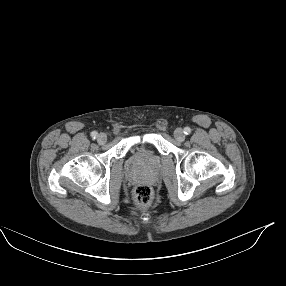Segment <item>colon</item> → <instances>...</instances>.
Returning a JSON list of instances; mask_svg holds the SVG:
<instances>
[{
  "label": "colon",
  "instance_id": "obj_1",
  "mask_svg": "<svg viewBox=\"0 0 286 286\" xmlns=\"http://www.w3.org/2000/svg\"><path fill=\"white\" fill-rule=\"evenodd\" d=\"M134 202L140 208L148 207L152 201V189L147 184H137L133 192Z\"/></svg>",
  "mask_w": 286,
  "mask_h": 286
}]
</instances>
